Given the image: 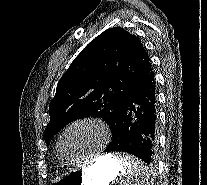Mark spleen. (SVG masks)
<instances>
[{
  "label": "spleen",
  "instance_id": "3e777b00",
  "mask_svg": "<svg viewBox=\"0 0 207 185\" xmlns=\"http://www.w3.org/2000/svg\"><path fill=\"white\" fill-rule=\"evenodd\" d=\"M123 173L119 174L120 185H146L147 179H156V174H148L151 166H145L144 159H134V153H117Z\"/></svg>",
  "mask_w": 207,
  "mask_h": 185
}]
</instances>
